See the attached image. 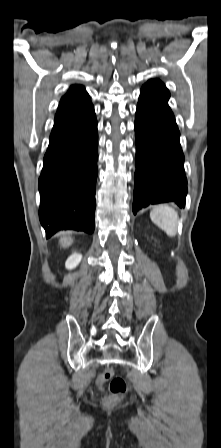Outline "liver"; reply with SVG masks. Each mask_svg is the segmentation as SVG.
Listing matches in <instances>:
<instances>
[{"instance_id": "6515ba94", "label": "liver", "mask_w": 221, "mask_h": 448, "mask_svg": "<svg viewBox=\"0 0 221 448\" xmlns=\"http://www.w3.org/2000/svg\"><path fill=\"white\" fill-rule=\"evenodd\" d=\"M73 243V238L70 235H65L63 234V236L60 238V244L63 248H67L69 246H71Z\"/></svg>"}]
</instances>
